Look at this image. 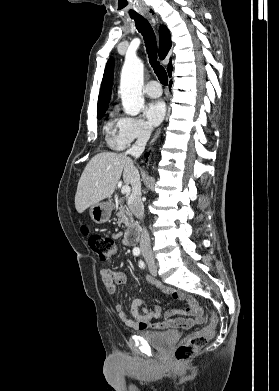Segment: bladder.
<instances>
[{
  "instance_id": "bladder-1",
  "label": "bladder",
  "mask_w": 279,
  "mask_h": 391,
  "mask_svg": "<svg viewBox=\"0 0 279 391\" xmlns=\"http://www.w3.org/2000/svg\"><path fill=\"white\" fill-rule=\"evenodd\" d=\"M139 336L149 345L158 349H165L177 340L179 332L176 330L141 331Z\"/></svg>"
}]
</instances>
